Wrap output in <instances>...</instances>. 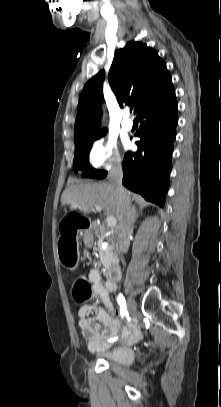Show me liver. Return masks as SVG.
Segmentation results:
<instances>
[{"mask_svg": "<svg viewBox=\"0 0 221 407\" xmlns=\"http://www.w3.org/2000/svg\"><path fill=\"white\" fill-rule=\"evenodd\" d=\"M126 192L130 202L131 193ZM61 203L78 208L84 214L93 213L95 205H99L106 216H114L119 221L120 204L116 198L115 188L109 182L70 186L62 193Z\"/></svg>", "mask_w": 221, "mask_h": 407, "instance_id": "obj_1", "label": "liver"}]
</instances>
